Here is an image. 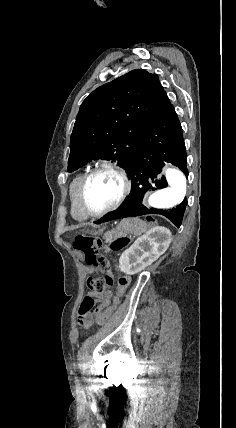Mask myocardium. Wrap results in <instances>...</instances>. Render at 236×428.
Here are the masks:
<instances>
[{
  "label": "myocardium",
  "instance_id": "1",
  "mask_svg": "<svg viewBox=\"0 0 236 428\" xmlns=\"http://www.w3.org/2000/svg\"><path fill=\"white\" fill-rule=\"evenodd\" d=\"M113 173L116 176H118L120 178V180L123 183V191L119 197V199L111 206L102 209V210H93L92 208H90V206L88 205L87 201H86V196H85V192H86V187L89 183V181L96 175L100 174V173ZM132 191V181L130 179L129 173L126 170V168H124L123 166L117 164V163H112V162H105L100 164L99 166L93 168L92 170H90L82 179L80 186H79V201H80V205L82 207V209L89 215V216H93V217H97V216H103L105 214H108L110 212H113L115 210H117L118 208L121 207V205L125 202V200L127 199V197L130 195Z\"/></svg>",
  "mask_w": 236,
  "mask_h": 428
}]
</instances>
